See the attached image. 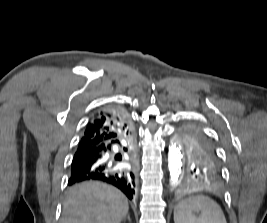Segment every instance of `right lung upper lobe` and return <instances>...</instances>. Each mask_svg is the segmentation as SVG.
Listing matches in <instances>:
<instances>
[{
  "instance_id": "cb5924a9",
  "label": "right lung upper lobe",
  "mask_w": 267,
  "mask_h": 223,
  "mask_svg": "<svg viewBox=\"0 0 267 223\" xmlns=\"http://www.w3.org/2000/svg\"><path fill=\"white\" fill-rule=\"evenodd\" d=\"M130 125V118L122 108L97 111L86 126L77 152L119 138L124 129Z\"/></svg>"
}]
</instances>
